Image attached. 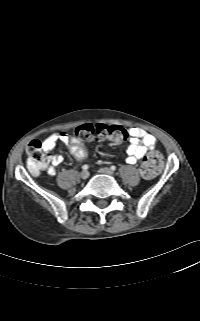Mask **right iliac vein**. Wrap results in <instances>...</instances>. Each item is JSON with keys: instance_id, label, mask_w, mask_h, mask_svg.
<instances>
[{"instance_id": "1", "label": "right iliac vein", "mask_w": 200, "mask_h": 321, "mask_svg": "<svg viewBox=\"0 0 200 321\" xmlns=\"http://www.w3.org/2000/svg\"><path fill=\"white\" fill-rule=\"evenodd\" d=\"M88 176H89V172L86 171V170H84V171H82V172L80 173V177H81L83 180L87 179Z\"/></svg>"}]
</instances>
